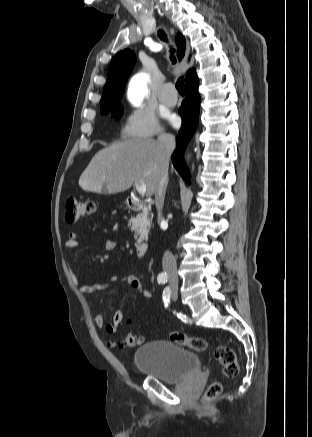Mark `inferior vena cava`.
<instances>
[{
    "mask_svg": "<svg viewBox=\"0 0 312 437\" xmlns=\"http://www.w3.org/2000/svg\"><path fill=\"white\" fill-rule=\"evenodd\" d=\"M158 142L160 145V156L163 161V167L159 176L157 189L155 192V202L156 207L159 211V216L163 208L165 192L168 184V164L172 152L175 149V137L171 134L162 132L158 137ZM162 266L164 271L169 274H177V264L176 259L173 254L166 251L163 255Z\"/></svg>",
    "mask_w": 312,
    "mask_h": 437,
    "instance_id": "602c4592",
    "label": "inferior vena cava"
}]
</instances>
